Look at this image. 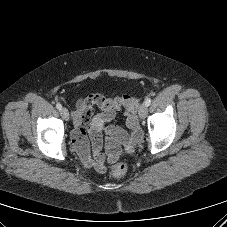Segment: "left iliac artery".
I'll list each match as a JSON object with an SVG mask.
<instances>
[{
	"label": "left iliac artery",
	"mask_w": 227,
	"mask_h": 227,
	"mask_svg": "<svg viewBox=\"0 0 227 227\" xmlns=\"http://www.w3.org/2000/svg\"><path fill=\"white\" fill-rule=\"evenodd\" d=\"M144 103L148 107L151 104V98H146Z\"/></svg>",
	"instance_id": "44dca946"
}]
</instances>
